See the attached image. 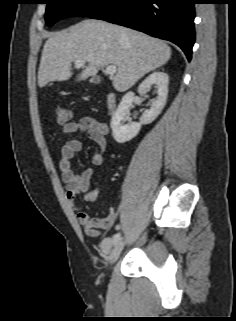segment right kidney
Wrapping results in <instances>:
<instances>
[{
  "instance_id": "ca27d5eb",
  "label": "right kidney",
  "mask_w": 236,
  "mask_h": 321,
  "mask_svg": "<svg viewBox=\"0 0 236 321\" xmlns=\"http://www.w3.org/2000/svg\"><path fill=\"white\" fill-rule=\"evenodd\" d=\"M169 76L160 71L150 74L138 87V93L145 95L148 88L155 84L157 86V98L152 101L151 108L144 111L139 123L129 122V108L135 99L134 93L129 92L122 98L116 112L114 113L110 126L112 135L118 143H124L134 138L140 131L142 125L153 122L164 108L168 95Z\"/></svg>"
}]
</instances>
